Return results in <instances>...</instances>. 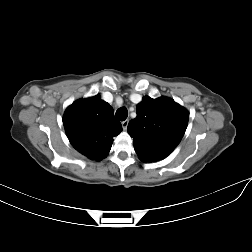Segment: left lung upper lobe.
<instances>
[{
	"instance_id": "obj_1",
	"label": "left lung upper lobe",
	"mask_w": 252,
	"mask_h": 252,
	"mask_svg": "<svg viewBox=\"0 0 252 252\" xmlns=\"http://www.w3.org/2000/svg\"><path fill=\"white\" fill-rule=\"evenodd\" d=\"M137 117L127 131L133 138L135 152L143 162L167 157L180 143L187 128L189 113L168 97H143L136 106Z\"/></svg>"
}]
</instances>
